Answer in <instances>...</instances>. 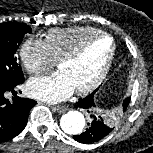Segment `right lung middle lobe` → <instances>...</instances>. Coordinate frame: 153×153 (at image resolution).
<instances>
[{
  "mask_svg": "<svg viewBox=\"0 0 153 153\" xmlns=\"http://www.w3.org/2000/svg\"><path fill=\"white\" fill-rule=\"evenodd\" d=\"M31 31L26 24L11 21L0 24V82L16 84L24 80L16 52L24 35Z\"/></svg>",
  "mask_w": 153,
  "mask_h": 153,
  "instance_id": "obj_1",
  "label": "right lung middle lobe"
}]
</instances>
